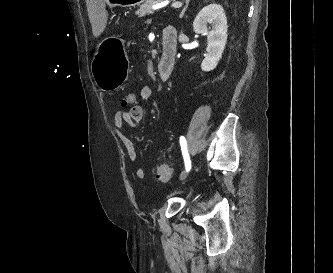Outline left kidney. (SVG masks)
<instances>
[{"mask_svg":"<svg viewBox=\"0 0 333 273\" xmlns=\"http://www.w3.org/2000/svg\"><path fill=\"white\" fill-rule=\"evenodd\" d=\"M212 25L209 31L207 25ZM194 32L207 36V54L201 63L203 71L216 68L227 42V17L221 5L213 3L204 7L193 22Z\"/></svg>","mask_w":333,"mask_h":273,"instance_id":"left-kidney-1","label":"left kidney"}]
</instances>
